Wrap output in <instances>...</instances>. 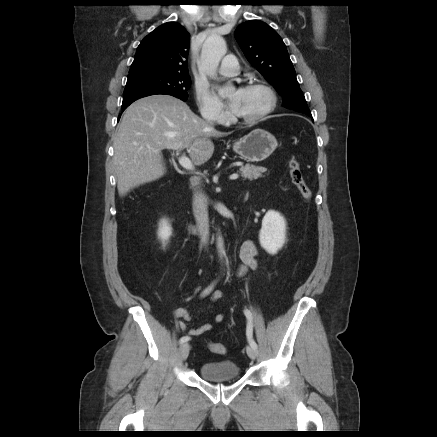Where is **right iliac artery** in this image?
Here are the masks:
<instances>
[{
    "label": "right iliac artery",
    "mask_w": 437,
    "mask_h": 437,
    "mask_svg": "<svg viewBox=\"0 0 437 437\" xmlns=\"http://www.w3.org/2000/svg\"><path fill=\"white\" fill-rule=\"evenodd\" d=\"M213 287H214V283H212L210 286H208L203 292H202V295L201 296H205V295H207V294H209L210 292H211V290L213 289ZM190 339V337H188V336H183L181 339H180V343L182 344V343H185V342H187L188 340Z\"/></svg>",
    "instance_id": "1"
}]
</instances>
